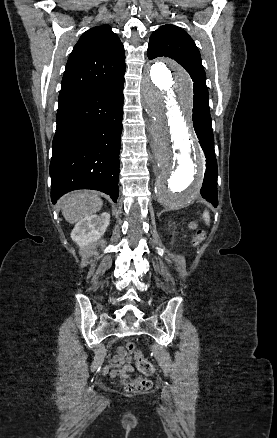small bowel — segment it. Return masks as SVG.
Wrapping results in <instances>:
<instances>
[{
    "instance_id": "small-bowel-1",
    "label": "small bowel",
    "mask_w": 277,
    "mask_h": 438,
    "mask_svg": "<svg viewBox=\"0 0 277 438\" xmlns=\"http://www.w3.org/2000/svg\"><path fill=\"white\" fill-rule=\"evenodd\" d=\"M112 378H119L133 372V367L130 359L127 357L124 349L119 348L117 355H115L107 366Z\"/></svg>"
}]
</instances>
